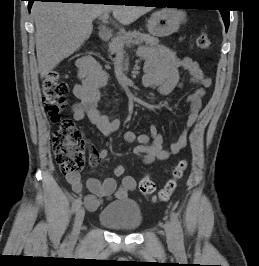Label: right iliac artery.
Masks as SVG:
<instances>
[{"instance_id":"right-iliac-artery-1","label":"right iliac artery","mask_w":259,"mask_h":266,"mask_svg":"<svg viewBox=\"0 0 259 266\" xmlns=\"http://www.w3.org/2000/svg\"><path fill=\"white\" fill-rule=\"evenodd\" d=\"M81 204H82L81 198L78 197L77 199H75L72 204L71 212L75 213L76 211H78V209L81 207Z\"/></svg>"}]
</instances>
